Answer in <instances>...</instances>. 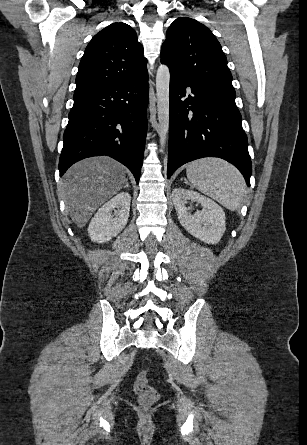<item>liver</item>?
<instances>
[{
    "instance_id": "liver-1",
    "label": "liver",
    "mask_w": 307,
    "mask_h": 445,
    "mask_svg": "<svg viewBox=\"0 0 307 445\" xmlns=\"http://www.w3.org/2000/svg\"><path fill=\"white\" fill-rule=\"evenodd\" d=\"M125 166L110 156H92L73 164L60 190L73 223L85 227L96 208L125 186Z\"/></svg>"
}]
</instances>
